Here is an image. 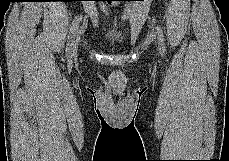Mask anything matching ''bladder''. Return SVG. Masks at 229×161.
I'll return each mask as SVG.
<instances>
[{
    "label": "bladder",
    "mask_w": 229,
    "mask_h": 161,
    "mask_svg": "<svg viewBox=\"0 0 229 161\" xmlns=\"http://www.w3.org/2000/svg\"><path fill=\"white\" fill-rule=\"evenodd\" d=\"M107 39L111 42H118L121 39V35L117 31H110L107 34Z\"/></svg>",
    "instance_id": "obj_1"
}]
</instances>
